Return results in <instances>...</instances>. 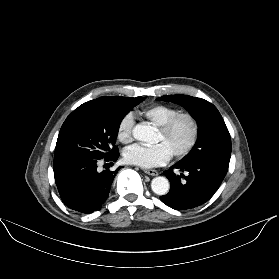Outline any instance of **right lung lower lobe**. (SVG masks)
Here are the masks:
<instances>
[{"mask_svg": "<svg viewBox=\"0 0 279 279\" xmlns=\"http://www.w3.org/2000/svg\"><path fill=\"white\" fill-rule=\"evenodd\" d=\"M118 151L103 158L116 161ZM100 159L75 158L53 162L55 182L64 204L81 213L97 210L108 198L117 170L99 171Z\"/></svg>", "mask_w": 279, "mask_h": 279, "instance_id": "98d812e1", "label": "right lung lower lobe"}]
</instances>
